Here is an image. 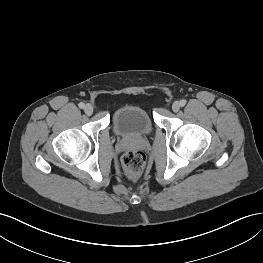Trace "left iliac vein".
I'll return each mask as SVG.
<instances>
[{
    "label": "left iliac vein",
    "mask_w": 263,
    "mask_h": 263,
    "mask_svg": "<svg viewBox=\"0 0 263 263\" xmlns=\"http://www.w3.org/2000/svg\"><path fill=\"white\" fill-rule=\"evenodd\" d=\"M180 103L178 102V101H175L173 104H172V110L174 111V112H178L179 111V109H180Z\"/></svg>",
    "instance_id": "4c4485c4"
}]
</instances>
